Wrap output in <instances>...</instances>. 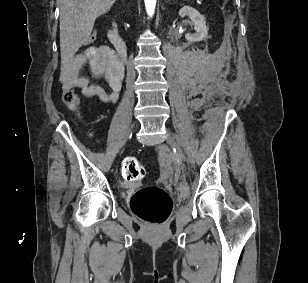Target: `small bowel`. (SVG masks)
Listing matches in <instances>:
<instances>
[{
	"label": "small bowel",
	"mask_w": 308,
	"mask_h": 283,
	"mask_svg": "<svg viewBox=\"0 0 308 283\" xmlns=\"http://www.w3.org/2000/svg\"><path fill=\"white\" fill-rule=\"evenodd\" d=\"M86 64L90 66L93 78L106 79L110 88L108 92L97 83L80 75V71ZM64 72L71 84L79 88L83 95L98 98L106 103L117 101L122 88L123 67L110 47L87 48L65 65Z\"/></svg>",
	"instance_id": "c3829d8e"
}]
</instances>
